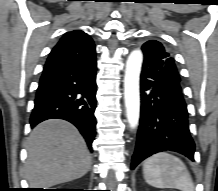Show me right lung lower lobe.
<instances>
[{
	"instance_id": "1",
	"label": "right lung lower lobe",
	"mask_w": 218,
	"mask_h": 191,
	"mask_svg": "<svg viewBox=\"0 0 218 191\" xmlns=\"http://www.w3.org/2000/svg\"><path fill=\"white\" fill-rule=\"evenodd\" d=\"M96 57L93 40L65 34L44 66L30 117L31 128L51 119L74 124L89 148L95 138Z\"/></svg>"
}]
</instances>
